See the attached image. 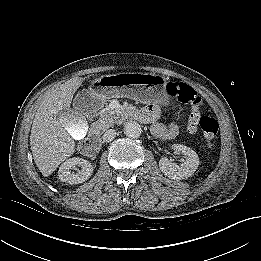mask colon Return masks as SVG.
Returning <instances> with one entry per match:
<instances>
[{
    "mask_svg": "<svg viewBox=\"0 0 261 261\" xmlns=\"http://www.w3.org/2000/svg\"><path fill=\"white\" fill-rule=\"evenodd\" d=\"M169 95L176 97L180 102L190 105L188 131L195 133L201 129L206 145L212 148L218 136L219 126L217 121L210 116L201 115L202 98L188 84L183 82H171L167 86Z\"/></svg>",
    "mask_w": 261,
    "mask_h": 261,
    "instance_id": "1",
    "label": "colon"
}]
</instances>
